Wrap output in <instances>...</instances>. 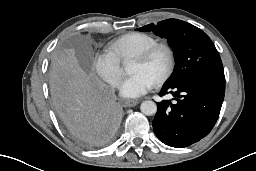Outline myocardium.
I'll return each instance as SVG.
<instances>
[{
    "mask_svg": "<svg viewBox=\"0 0 256 171\" xmlns=\"http://www.w3.org/2000/svg\"><path fill=\"white\" fill-rule=\"evenodd\" d=\"M159 52L165 53L167 57V66L163 74L155 82V86L157 87H160L163 84H165L174 72L176 60L173 49L167 44L157 43L134 56V60L140 62H148L153 57H155Z\"/></svg>",
    "mask_w": 256,
    "mask_h": 171,
    "instance_id": "1",
    "label": "myocardium"
}]
</instances>
